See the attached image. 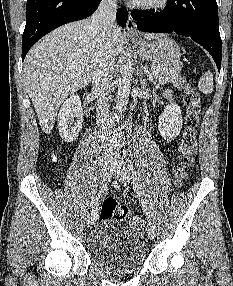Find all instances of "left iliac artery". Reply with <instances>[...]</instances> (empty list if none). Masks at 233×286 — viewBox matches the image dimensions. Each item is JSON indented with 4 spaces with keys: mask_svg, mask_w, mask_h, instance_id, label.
<instances>
[{
    "mask_svg": "<svg viewBox=\"0 0 233 286\" xmlns=\"http://www.w3.org/2000/svg\"><path fill=\"white\" fill-rule=\"evenodd\" d=\"M126 163H127V166H128V169L130 171V174H131V178L133 180V185H134V190L136 191L137 193V197L139 199V202H140V205L143 209V212L146 214L147 218L150 219V214H149V211H148V208L145 204V201L143 199V195H142V192H141V188H140V184H139V180L137 178V175H136V171L134 169V166L132 164V160L127 157L126 158Z\"/></svg>",
    "mask_w": 233,
    "mask_h": 286,
    "instance_id": "obj_1",
    "label": "left iliac artery"
}]
</instances>
